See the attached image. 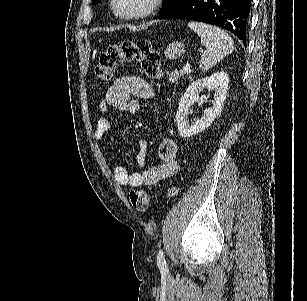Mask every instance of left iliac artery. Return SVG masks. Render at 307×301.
Wrapping results in <instances>:
<instances>
[{"mask_svg": "<svg viewBox=\"0 0 307 301\" xmlns=\"http://www.w3.org/2000/svg\"><path fill=\"white\" fill-rule=\"evenodd\" d=\"M157 265H158L159 269H161V270L167 269V263H166V260L164 258V254H163L162 250H160L157 254Z\"/></svg>", "mask_w": 307, "mask_h": 301, "instance_id": "obj_1", "label": "left iliac artery"}]
</instances>
